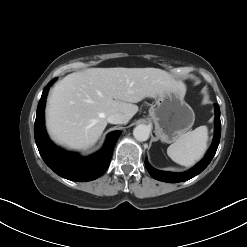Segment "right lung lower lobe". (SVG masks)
<instances>
[{
	"instance_id": "obj_1",
	"label": "right lung lower lobe",
	"mask_w": 247,
	"mask_h": 247,
	"mask_svg": "<svg viewBox=\"0 0 247 247\" xmlns=\"http://www.w3.org/2000/svg\"><path fill=\"white\" fill-rule=\"evenodd\" d=\"M56 79L44 88L37 107L34 125L35 141L44 162L59 176L72 181H91L100 177L107 170L115 143L120 131L108 135L104 147L90 157L83 158L75 153H68L56 147L48 138L44 126V107L49 87Z\"/></svg>"
}]
</instances>
